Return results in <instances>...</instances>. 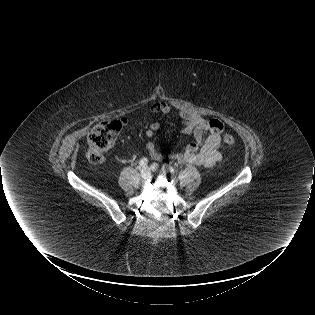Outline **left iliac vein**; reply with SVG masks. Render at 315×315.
I'll return each mask as SVG.
<instances>
[{
	"mask_svg": "<svg viewBox=\"0 0 315 315\" xmlns=\"http://www.w3.org/2000/svg\"><path fill=\"white\" fill-rule=\"evenodd\" d=\"M151 169H152L153 171H156V170H157V168L154 167L153 165H152ZM160 175L163 176V177H167V173H166V171H164V170H161V171H160Z\"/></svg>",
	"mask_w": 315,
	"mask_h": 315,
	"instance_id": "4c4485c4",
	"label": "left iliac vein"
}]
</instances>
